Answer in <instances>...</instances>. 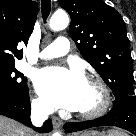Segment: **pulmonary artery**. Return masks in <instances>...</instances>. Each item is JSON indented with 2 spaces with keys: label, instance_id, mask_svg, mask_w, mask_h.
Segmentation results:
<instances>
[{
  "label": "pulmonary artery",
  "instance_id": "obj_1",
  "mask_svg": "<svg viewBox=\"0 0 136 136\" xmlns=\"http://www.w3.org/2000/svg\"><path fill=\"white\" fill-rule=\"evenodd\" d=\"M69 41L65 37H58L52 44L44 48L40 57L44 59L60 57L68 53L69 51Z\"/></svg>",
  "mask_w": 136,
  "mask_h": 136
}]
</instances>
